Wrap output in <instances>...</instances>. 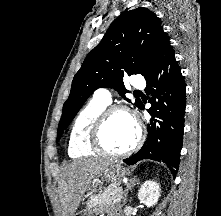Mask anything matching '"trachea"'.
<instances>
[{"mask_svg":"<svg viewBox=\"0 0 221 216\" xmlns=\"http://www.w3.org/2000/svg\"><path fill=\"white\" fill-rule=\"evenodd\" d=\"M141 93V91H135L134 92V94H140Z\"/></svg>","mask_w":221,"mask_h":216,"instance_id":"obj_1","label":"trachea"}]
</instances>
